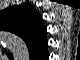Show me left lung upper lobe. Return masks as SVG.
Listing matches in <instances>:
<instances>
[{
    "label": "left lung upper lobe",
    "mask_w": 80,
    "mask_h": 60,
    "mask_svg": "<svg viewBox=\"0 0 80 60\" xmlns=\"http://www.w3.org/2000/svg\"><path fill=\"white\" fill-rule=\"evenodd\" d=\"M0 29L20 36L27 43L31 55L38 50L35 42L45 34L41 16L29 3L3 10L0 13Z\"/></svg>",
    "instance_id": "obj_1"
}]
</instances>
